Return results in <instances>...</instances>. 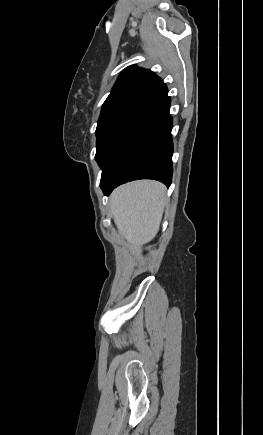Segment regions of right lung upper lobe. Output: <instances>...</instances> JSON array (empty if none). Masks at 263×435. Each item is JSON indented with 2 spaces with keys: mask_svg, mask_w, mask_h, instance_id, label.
Segmentation results:
<instances>
[{
  "mask_svg": "<svg viewBox=\"0 0 263 435\" xmlns=\"http://www.w3.org/2000/svg\"><path fill=\"white\" fill-rule=\"evenodd\" d=\"M166 89L165 83L154 72L129 66L119 75L103 107L116 104L145 105Z\"/></svg>",
  "mask_w": 263,
  "mask_h": 435,
  "instance_id": "1",
  "label": "right lung upper lobe"
}]
</instances>
